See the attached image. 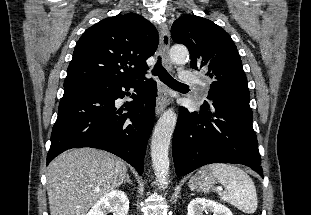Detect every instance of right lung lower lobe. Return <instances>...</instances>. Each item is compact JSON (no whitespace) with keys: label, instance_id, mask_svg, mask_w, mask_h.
<instances>
[{"label":"right lung lower lobe","instance_id":"obj_1","mask_svg":"<svg viewBox=\"0 0 311 215\" xmlns=\"http://www.w3.org/2000/svg\"><path fill=\"white\" fill-rule=\"evenodd\" d=\"M144 79L64 86L46 164L67 149L93 147L121 157L142 175L157 92L156 82ZM123 88H133L135 93L132 102L118 109L115 100L128 94Z\"/></svg>","mask_w":311,"mask_h":215}]
</instances>
